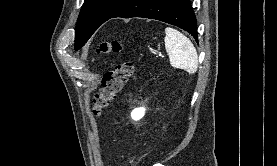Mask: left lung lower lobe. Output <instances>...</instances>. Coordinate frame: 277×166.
<instances>
[{"mask_svg":"<svg viewBox=\"0 0 277 166\" xmlns=\"http://www.w3.org/2000/svg\"><path fill=\"white\" fill-rule=\"evenodd\" d=\"M113 17L160 20L182 28L198 42L196 18L189 0H133Z\"/></svg>","mask_w":277,"mask_h":166,"instance_id":"left-lung-lower-lobe-1","label":"left lung lower lobe"}]
</instances>
